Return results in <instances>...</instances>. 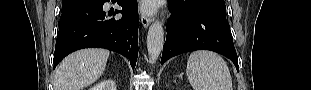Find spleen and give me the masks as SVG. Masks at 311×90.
I'll return each mask as SVG.
<instances>
[{"label":"spleen","instance_id":"spleen-1","mask_svg":"<svg viewBox=\"0 0 311 90\" xmlns=\"http://www.w3.org/2000/svg\"><path fill=\"white\" fill-rule=\"evenodd\" d=\"M186 72L194 90H232L229 68L214 52H193L188 58Z\"/></svg>","mask_w":311,"mask_h":90}]
</instances>
